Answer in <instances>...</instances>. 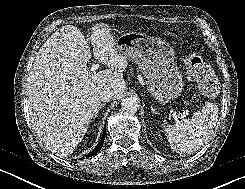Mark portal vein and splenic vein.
I'll use <instances>...</instances> for the list:
<instances>
[{
    "instance_id": "obj_1",
    "label": "portal vein and splenic vein",
    "mask_w": 245,
    "mask_h": 189,
    "mask_svg": "<svg viewBox=\"0 0 245 189\" xmlns=\"http://www.w3.org/2000/svg\"><path fill=\"white\" fill-rule=\"evenodd\" d=\"M98 68H99V64H93L90 68V71L95 72ZM176 122L178 123L179 121L176 120Z\"/></svg>"
}]
</instances>
